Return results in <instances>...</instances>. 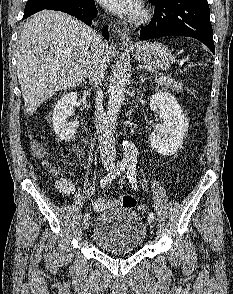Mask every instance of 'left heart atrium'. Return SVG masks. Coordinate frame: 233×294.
Instances as JSON below:
<instances>
[{"instance_id": "1", "label": "left heart atrium", "mask_w": 233, "mask_h": 294, "mask_svg": "<svg viewBox=\"0 0 233 294\" xmlns=\"http://www.w3.org/2000/svg\"><path fill=\"white\" fill-rule=\"evenodd\" d=\"M106 8L111 11L125 15L136 16L140 13L142 3L141 0H98Z\"/></svg>"}]
</instances>
